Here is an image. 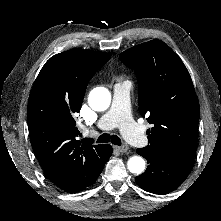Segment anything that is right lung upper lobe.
I'll list each match as a JSON object with an SVG mask.
<instances>
[{"label":"right lung upper lobe","instance_id":"obj_1","mask_svg":"<svg viewBox=\"0 0 221 221\" xmlns=\"http://www.w3.org/2000/svg\"><path fill=\"white\" fill-rule=\"evenodd\" d=\"M111 55L71 49L51 57L30 92L27 121L34 152L50 180L67 192L93 184L104 165L106 146L80 134V111L87 83Z\"/></svg>","mask_w":221,"mask_h":221}]
</instances>
